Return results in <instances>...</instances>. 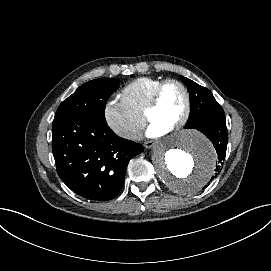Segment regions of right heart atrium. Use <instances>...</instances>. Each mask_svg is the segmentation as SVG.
<instances>
[{
  "label": "right heart atrium",
  "mask_w": 271,
  "mask_h": 271,
  "mask_svg": "<svg viewBox=\"0 0 271 271\" xmlns=\"http://www.w3.org/2000/svg\"><path fill=\"white\" fill-rule=\"evenodd\" d=\"M103 118L110 129L127 141H134L146 124L144 116L133 112L119 96L105 100Z\"/></svg>",
  "instance_id": "obj_1"
}]
</instances>
